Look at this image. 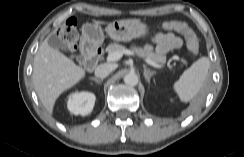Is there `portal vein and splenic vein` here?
Masks as SVG:
<instances>
[{
	"instance_id": "1",
	"label": "portal vein and splenic vein",
	"mask_w": 244,
	"mask_h": 157,
	"mask_svg": "<svg viewBox=\"0 0 244 157\" xmlns=\"http://www.w3.org/2000/svg\"><path fill=\"white\" fill-rule=\"evenodd\" d=\"M123 54H126V55H132V56H134V55H136L133 51H131V50H124L123 52H113V53H111V54H109L108 56H107V58H106V60H107V62H115V61H118L122 56H123ZM143 60L147 63V64H149V65H151V66H153V67H156V68H161L163 65L162 64H157V63H155L154 61H152L151 59H149V58H143Z\"/></svg>"
}]
</instances>
